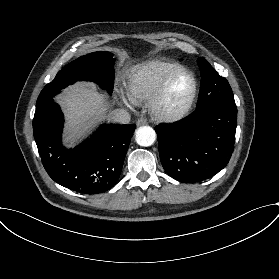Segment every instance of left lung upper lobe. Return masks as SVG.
Instances as JSON below:
<instances>
[{"instance_id":"1","label":"left lung upper lobe","mask_w":279,"mask_h":279,"mask_svg":"<svg viewBox=\"0 0 279 279\" xmlns=\"http://www.w3.org/2000/svg\"><path fill=\"white\" fill-rule=\"evenodd\" d=\"M198 65L201 71V89L196 109L216 104L237 110L228 81L221 77L204 58H198Z\"/></svg>"}]
</instances>
